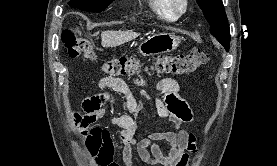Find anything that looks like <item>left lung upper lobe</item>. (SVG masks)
Returning <instances> with one entry per match:
<instances>
[{
    "label": "left lung upper lobe",
    "mask_w": 277,
    "mask_h": 166,
    "mask_svg": "<svg viewBox=\"0 0 277 166\" xmlns=\"http://www.w3.org/2000/svg\"><path fill=\"white\" fill-rule=\"evenodd\" d=\"M210 24L211 34L225 47H230V31L222 0H196Z\"/></svg>",
    "instance_id": "5c2ea615"
}]
</instances>
